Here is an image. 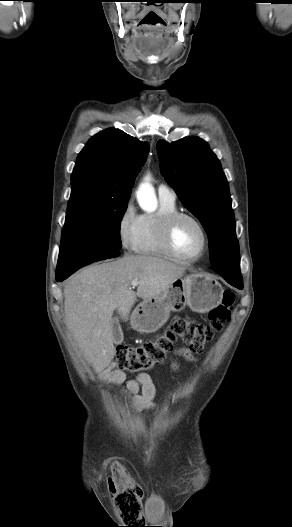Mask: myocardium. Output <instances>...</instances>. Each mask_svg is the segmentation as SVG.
<instances>
[{"label": "myocardium", "mask_w": 292, "mask_h": 527, "mask_svg": "<svg viewBox=\"0 0 292 527\" xmlns=\"http://www.w3.org/2000/svg\"><path fill=\"white\" fill-rule=\"evenodd\" d=\"M181 219H188L194 222L199 230L201 231L203 244L201 252L194 258H185L181 256L174 247L173 244V230L175 225ZM160 242L164 250L176 261L185 264H193L200 261L207 253L209 248V236L204 224L193 214L187 212L176 211L166 215L160 225Z\"/></svg>", "instance_id": "obj_1"}]
</instances>
